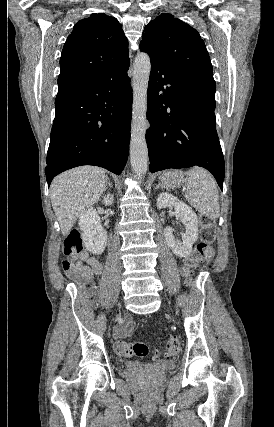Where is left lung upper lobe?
<instances>
[{
  "label": "left lung upper lobe",
  "mask_w": 274,
  "mask_h": 427,
  "mask_svg": "<svg viewBox=\"0 0 274 427\" xmlns=\"http://www.w3.org/2000/svg\"><path fill=\"white\" fill-rule=\"evenodd\" d=\"M140 50L165 68L215 86L204 41L187 23L161 14L145 26Z\"/></svg>",
  "instance_id": "obj_1"
}]
</instances>
